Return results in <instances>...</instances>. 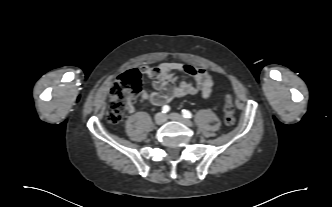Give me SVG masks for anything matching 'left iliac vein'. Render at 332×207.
<instances>
[{
    "label": "left iliac vein",
    "mask_w": 332,
    "mask_h": 207,
    "mask_svg": "<svg viewBox=\"0 0 332 207\" xmlns=\"http://www.w3.org/2000/svg\"><path fill=\"white\" fill-rule=\"evenodd\" d=\"M169 118L171 120L178 121V122H180V123H182V124H184V125H186L188 127H192L193 126V123L190 120L184 118L182 115H180L178 113H171V114H169Z\"/></svg>",
    "instance_id": "left-iliac-vein-1"
}]
</instances>
